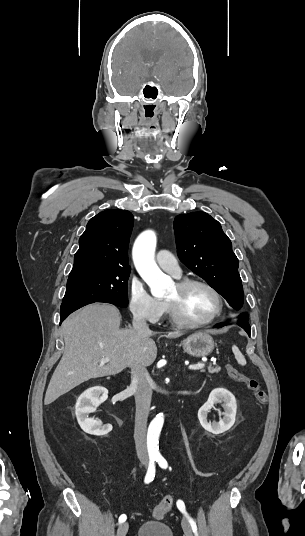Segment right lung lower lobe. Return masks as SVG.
<instances>
[{"mask_svg":"<svg viewBox=\"0 0 305 536\" xmlns=\"http://www.w3.org/2000/svg\"><path fill=\"white\" fill-rule=\"evenodd\" d=\"M90 303H94V302H74V303L62 304L61 312H60V324L69 314H71L75 310Z\"/></svg>","mask_w":305,"mask_h":536,"instance_id":"right-lung-lower-lobe-1","label":"right lung lower lobe"}]
</instances>
